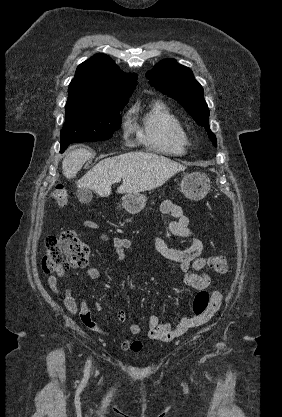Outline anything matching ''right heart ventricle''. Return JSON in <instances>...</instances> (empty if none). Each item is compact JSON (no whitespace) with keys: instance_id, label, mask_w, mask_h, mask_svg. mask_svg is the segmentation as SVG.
<instances>
[{"instance_id":"obj_1","label":"right heart ventricle","mask_w":282,"mask_h":417,"mask_svg":"<svg viewBox=\"0 0 282 417\" xmlns=\"http://www.w3.org/2000/svg\"><path fill=\"white\" fill-rule=\"evenodd\" d=\"M131 114L138 118L139 108L132 109ZM139 140L148 148L164 153H180L182 151V131L177 119L167 106L154 102L135 123Z\"/></svg>"}]
</instances>
